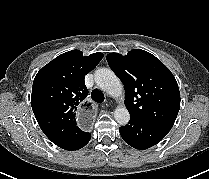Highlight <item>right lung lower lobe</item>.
I'll use <instances>...</instances> for the list:
<instances>
[{
	"label": "right lung lower lobe",
	"mask_w": 209,
	"mask_h": 179,
	"mask_svg": "<svg viewBox=\"0 0 209 179\" xmlns=\"http://www.w3.org/2000/svg\"><path fill=\"white\" fill-rule=\"evenodd\" d=\"M91 139V134L82 131L81 129L69 138L57 143L56 145L65 150H78L84 147Z\"/></svg>",
	"instance_id": "1"
}]
</instances>
